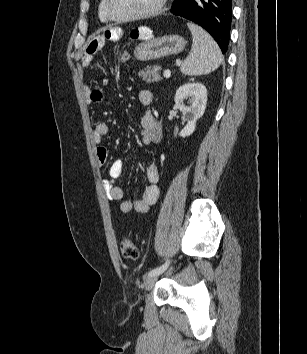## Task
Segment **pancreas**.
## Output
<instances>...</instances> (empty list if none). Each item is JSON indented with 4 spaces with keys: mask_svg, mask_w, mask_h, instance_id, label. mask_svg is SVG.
Returning a JSON list of instances; mask_svg holds the SVG:
<instances>
[{
    "mask_svg": "<svg viewBox=\"0 0 307 354\" xmlns=\"http://www.w3.org/2000/svg\"><path fill=\"white\" fill-rule=\"evenodd\" d=\"M160 71L161 66L153 65L140 70L138 75L142 80L146 81V83L159 82L161 80Z\"/></svg>",
    "mask_w": 307,
    "mask_h": 354,
    "instance_id": "pancreas-1",
    "label": "pancreas"
}]
</instances>
